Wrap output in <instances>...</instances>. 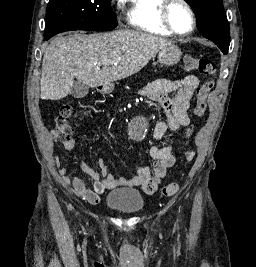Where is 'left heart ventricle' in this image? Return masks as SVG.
Masks as SVG:
<instances>
[{
	"instance_id": "obj_1",
	"label": "left heart ventricle",
	"mask_w": 256,
	"mask_h": 267,
	"mask_svg": "<svg viewBox=\"0 0 256 267\" xmlns=\"http://www.w3.org/2000/svg\"><path fill=\"white\" fill-rule=\"evenodd\" d=\"M169 18L178 32L185 33L191 29V16L182 5L173 3L169 10Z\"/></svg>"
}]
</instances>
